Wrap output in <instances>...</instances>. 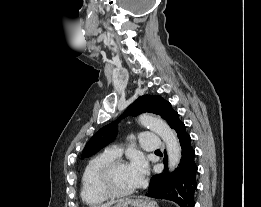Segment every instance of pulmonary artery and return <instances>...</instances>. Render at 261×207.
<instances>
[{"mask_svg":"<svg viewBox=\"0 0 261 207\" xmlns=\"http://www.w3.org/2000/svg\"><path fill=\"white\" fill-rule=\"evenodd\" d=\"M141 147L146 151H157L164 148V143L161 138L152 132H143L140 134ZM106 152L111 156L118 158L122 154L120 147L114 145L106 149Z\"/></svg>","mask_w":261,"mask_h":207,"instance_id":"e3ab8cb5","label":"pulmonary artery"}]
</instances>
